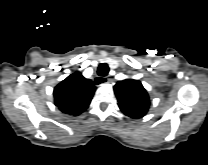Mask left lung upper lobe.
Instances as JSON below:
<instances>
[{
    "label": "left lung upper lobe",
    "mask_w": 208,
    "mask_h": 165,
    "mask_svg": "<svg viewBox=\"0 0 208 165\" xmlns=\"http://www.w3.org/2000/svg\"><path fill=\"white\" fill-rule=\"evenodd\" d=\"M120 110L131 118L139 119L146 115L150 106L147 91L140 81L125 79L114 86Z\"/></svg>",
    "instance_id": "obj_1"
}]
</instances>
